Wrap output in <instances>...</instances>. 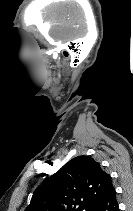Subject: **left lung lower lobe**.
<instances>
[{
    "mask_svg": "<svg viewBox=\"0 0 133 211\" xmlns=\"http://www.w3.org/2000/svg\"><path fill=\"white\" fill-rule=\"evenodd\" d=\"M92 211H119L116 198V191L113 187L109 193L100 200L92 209Z\"/></svg>",
    "mask_w": 133,
    "mask_h": 211,
    "instance_id": "obj_1",
    "label": "left lung lower lobe"
}]
</instances>
